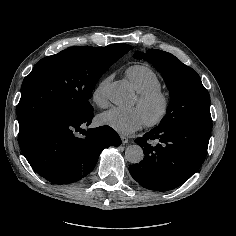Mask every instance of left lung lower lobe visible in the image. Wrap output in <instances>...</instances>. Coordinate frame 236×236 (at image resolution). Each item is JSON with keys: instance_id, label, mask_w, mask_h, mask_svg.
Here are the masks:
<instances>
[{"instance_id": "1", "label": "left lung lower lobe", "mask_w": 236, "mask_h": 236, "mask_svg": "<svg viewBox=\"0 0 236 236\" xmlns=\"http://www.w3.org/2000/svg\"><path fill=\"white\" fill-rule=\"evenodd\" d=\"M211 127L184 124L154 128L135 142L144 159L129 167L132 177L144 188L174 189L199 170L205 160ZM153 141L158 144L154 146Z\"/></svg>"}]
</instances>
